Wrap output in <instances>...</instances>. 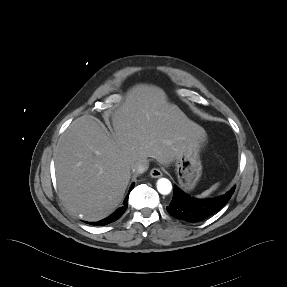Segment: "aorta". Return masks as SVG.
Wrapping results in <instances>:
<instances>
[{"label":"aorta","mask_w":287,"mask_h":287,"mask_svg":"<svg viewBox=\"0 0 287 287\" xmlns=\"http://www.w3.org/2000/svg\"><path fill=\"white\" fill-rule=\"evenodd\" d=\"M156 186L158 192L162 195H168L172 191V184L167 178L158 179Z\"/></svg>","instance_id":"762f6f07"}]
</instances>
